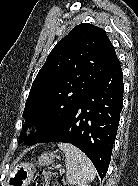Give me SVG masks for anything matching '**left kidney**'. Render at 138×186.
<instances>
[{"label":"left kidney","instance_id":"5707ae66","mask_svg":"<svg viewBox=\"0 0 138 186\" xmlns=\"http://www.w3.org/2000/svg\"><path fill=\"white\" fill-rule=\"evenodd\" d=\"M78 186H90L88 184H79Z\"/></svg>","mask_w":138,"mask_h":186}]
</instances>
